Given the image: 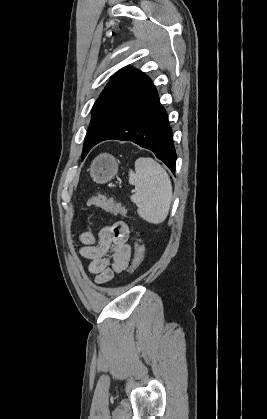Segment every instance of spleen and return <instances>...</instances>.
Masks as SVG:
<instances>
[{
	"instance_id": "1",
	"label": "spleen",
	"mask_w": 267,
	"mask_h": 419,
	"mask_svg": "<svg viewBox=\"0 0 267 419\" xmlns=\"http://www.w3.org/2000/svg\"><path fill=\"white\" fill-rule=\"evenodd\" d=\"M129 183L136 193L130 196L138 215L153 224L162 223L172 202V183L165 169L150 157L138 158L135 172L130 170Z\"/></svg>"
}]
</instances>
